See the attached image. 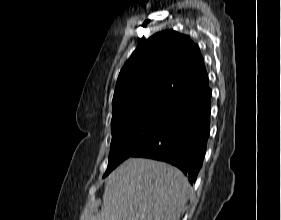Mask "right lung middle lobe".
<instances>
[{"label": "right lung middle lobe", "instance_id": "dd1d6c3e", "mask_svg": "<svg viewBox=\"0 0 281 220\" xmlns=\"http://www.w3.org/2000/svg\"><path fill=\"white\" fill-rule=\"evenodd\" d=\"M170 115L148 113L126 116L111 122L112 141L106 177L115 167L143 146Z\"/></svg>", "mask_w": 281, "mask_h": 220}]
</instances>
